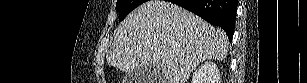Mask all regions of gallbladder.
Wrapping results in <instances>:
<instances>
[{
	"label": "gallbladder",
	"mask_w": 307,
	"mask_h": 83,
	"mask_svg": "<svg viewBox=\"0 0 307 83\" xmlns=\"http://www.w3.org/2000/svg\"><path fill=\"white\" fill-rule=\"evenodd\" d=\"M163 78L162 72L153 66L136 69L125 75L127 83H160Z\"/></svg>",
	"instance_id": "gallbladder-1"
}]
</instances>
